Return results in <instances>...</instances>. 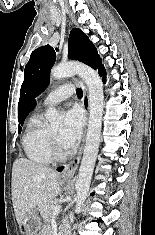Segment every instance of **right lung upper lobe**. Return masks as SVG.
<instances>
[{"label": "right lung upper lobe", "instance_id": "obj_1", "mask_svg": "<svg viewBox=\"0 0 155 235\" xmlns=\"http://www.w3.org/2000/svg\"><path fill=\"white\" fill-rule=\"evenodd\" d=\"M36 106V101L32 100L28 106L27 111L25 112L24 118L27 116V114ZM19 118V115H18Z\"/></svg>", "mask_w": 155, "mask_h": 235}]
</instances>
